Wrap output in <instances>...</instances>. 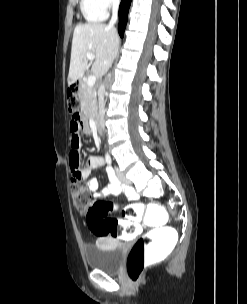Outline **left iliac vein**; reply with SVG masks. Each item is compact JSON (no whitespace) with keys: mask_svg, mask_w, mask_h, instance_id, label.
Segmentation results:
<instances>
[{"mask_svg":"<svg viewBox=\"0 0 247 304\" xmlns=\"http://www.w3.org/2000/svg\"><path fill=\"white\" fill-rule=\"evenodd\" d=\"M116 170V175L119 179V181L123 184L130 185L132 182L129 180L118 168Z\"/></svg>","mask_w":247,"mask_h":304,"instance_id":"obj_1","label":"left iliac vein"}]
</instances>
